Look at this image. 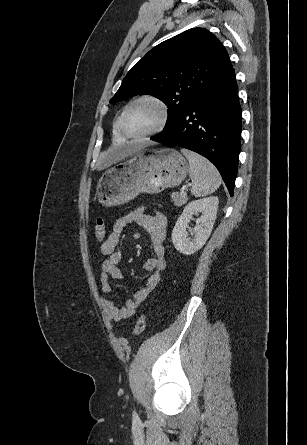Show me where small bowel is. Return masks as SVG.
I'll list each match as a JSON object with an SVG mask.
<instances>
[{"mask_svg":"<svg viewBox=\"0 0 307 445\" xmlns=\"http://www.w3.org/2000/svg\"><path fill=\"white\" fill-rule=\"evenodd\" d=\"M131 223L140 225L149 236L153 256L145 262L144 267L151 274L146 285L136 291L134 296L128 299L123 306H118L111 299H102L101 305L104 312L107 318L112 321L127 319L135 314L159 284L166 266L164 240L167 233V218L159 211L148 214L144 208L132 210L116 220L112 232L100 247L101 254L105 256L101 264L99 278L103 293L110 294L112 292L110 280H121L123 278L119 268L123 256L120 247V236L124 227Z\"/></svg>","mask_w":307,"mask_h":445,"instance_id":"small-bowel-1","label":"small bowel"}]
</instances>
